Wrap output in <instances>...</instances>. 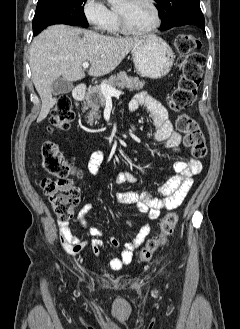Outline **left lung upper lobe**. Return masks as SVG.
Returning a JSON list of instances; mask_svg holds the SVG:
<instances>
[{"label":"left lung upper lobe","mask_w":240,"mask_h":329,"mask_svg":"<svg viewBox=\"0 0 240 329\" xmlns=\"http://www.w3.org/2000/svg\"><path fill=\"white\" fill-rule=\"evenodd\" d=\"M162 20L160 30H168L177 24H205L200 0H155Z\"/></svg>","instance_id":"1"}]
</instances>
